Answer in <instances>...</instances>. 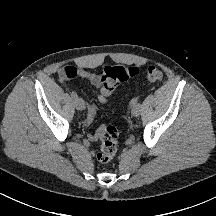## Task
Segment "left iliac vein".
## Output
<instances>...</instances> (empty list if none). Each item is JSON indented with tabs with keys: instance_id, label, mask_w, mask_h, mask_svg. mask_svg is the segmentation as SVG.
Returning a JSON list of instances; mask_svg holds the SVG:
<instances>
[{
	"instance_id": "4c4485c4",
	"label": "left iliac vein",
	"mask_w": 216,
	"mask_h": 216,
	"mask_svg": "<svg viewBox=\"0 0 216 216\" xmlns=\"http://www.w3.org/2000/svg\"><path fill=\"white\" fill-rule=\"evenodd\" d=\"M131 113L133 116L137 117L140 114V105L137 104V105L133 106L131 109Z\"/></svg>"
}]
</instances>
